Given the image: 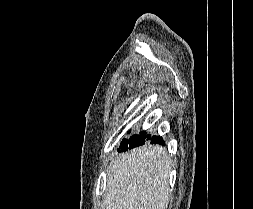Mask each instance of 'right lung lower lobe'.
<instances>
[{
  "label": "right lung lower lobe",
  "instance_id": "right-lung-lower-lobe-1",
  "mask_svg": "<svg viewBox=\"0 0 253 209\" xmlns=\"http://www.w3.org/2000/svg\"><path fill=\"white\" fill-rule=\"evenodd\" d=\"M142 138H144L143 140L145 142L147 141H150L151 144H154V143H158V144H165L162 137H159V136H150V135H147V136H142Z\"/></svg>",
  "mask_w": 253,
  "mask_h": 209
}]
</instances>
